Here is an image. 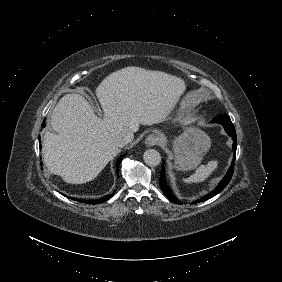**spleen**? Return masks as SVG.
<instances>
[{"label": "spleen", "instance_id": "obj_1", "mask_svg": "<svg viewBox=\"0 0 282 282\" xmlns=\"http://www.w3.org/2000/svg\"><path fill=\"white\" fill-rule=\"evenodd\" d=\"M218 167L217 161H209L207 165H200L196 171L195 174L191 175L188 178H184V183H199L205 181L213 171Z\"/></svg>", "mask_w": 282, "mask_h": 282}]
</instances>
